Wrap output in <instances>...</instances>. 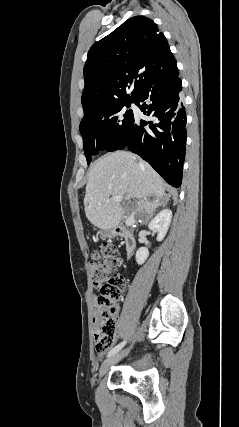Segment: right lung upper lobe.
Instances as JSON below:
<instances>
[{
    "label": "right lung upper lobe",
    "instance_id": "1",
    "mask_svg": "<svg viewBox=\"0 0 239 427\" xmlns=\"http://www.w3.org/2000/svg\"><path fill=\"white\" fill-rule=\"evenodd\" d=\"M176 73V60L164 34L151 19L132 17L88 52L81 98L84 114L103 102L136 99L144 89Z\"/></svg>",
    "mask_w": 239,
    "mask_h": 427
}]
</instances>
